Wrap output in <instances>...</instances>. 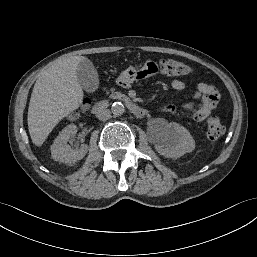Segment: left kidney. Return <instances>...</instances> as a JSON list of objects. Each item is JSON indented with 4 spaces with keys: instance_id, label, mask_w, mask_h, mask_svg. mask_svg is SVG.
<instances>
[{
    "instance_id": "left-kidney-1",
    "label": "left kidney",
    "mask_w": 257,
    "mask_h": 257,
    "mask_svg": "<svg viewBox=\"0 0 257 257\" xmlns=\"http://www.w3.org/2000/svg\"><path fill=\"white\" fill-rule=\"evenodd\" d=\"M155 148L164 157L178 158L194 150L195 142L185 127L178 123H167L158 136Z\"/></svg>"
}]
</instances>
